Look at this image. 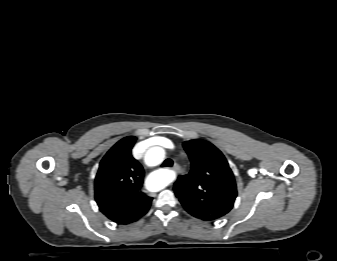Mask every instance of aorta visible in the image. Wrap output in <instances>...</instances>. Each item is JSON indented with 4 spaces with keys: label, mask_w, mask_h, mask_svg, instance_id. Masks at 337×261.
I'll return each instance as SVG.
<instances>
[{
    "label": "aorta",
    "mask_w": 337,
    "mask_h": 261,
    "mask_svg": "<svg viewBox=\"0 0 337 261\" xmlns=\"http://www.w3.org/2000/svg\"><path fill=\"white\" fill-rule=\"evenodd\" d=\"M164 156L165 151L163 148L158 146L151 147L145 154V163L150 167L157 166L163 162ZM169 175V171H162L158 174L160 180L159 189L163 188L166 185Z\"/></svg>",
    "instance_id": "obj_1"
}]
</instances>
